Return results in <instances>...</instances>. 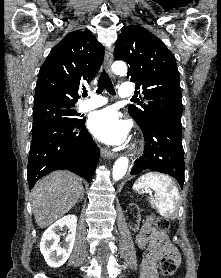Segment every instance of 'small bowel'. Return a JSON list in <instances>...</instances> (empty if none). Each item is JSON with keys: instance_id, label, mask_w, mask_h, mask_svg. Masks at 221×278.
<instances>
[{"instance_id": "small-bowel-1", "label": "small bowel", "mask_w": 221, "mask_h": 278, "mask_svg": "<svg viewBox=\"0 0 221 278\" xmlns=\"http://www.w3.org/2000/svg\"><path fill=\"white\" fill-rule=\"evenodd\" d=\"M136 243L139 248L146 249L141 264L142 278H157L156 264L163 256H168L177 263L180 261L179 254L168 241L167 235L154 228L151 217L144 220Z\"/></svg>"}]
</instances>
